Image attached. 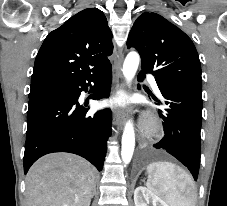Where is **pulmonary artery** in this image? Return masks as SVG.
Segmentation results:
<instances>
[{
    "instance_id": "1",
    "label": "pulmonary artery",
    "mask_w": 227,
    "mask_h": 206,
    "mask_svg": "<svg viewBox=\"0 0 227 206\" xmlns=\"http://www.w3.org/2000/svg\"><path fill=\"white\" fill-rule=\"evenodd\" d=\"M148 77H149V79H150V81H151V84H152L153 88H154L157 92H159V89H158V86H157V84H156L155 79H154L151 75H149Z\"/></svg>"
}]
</instances>
